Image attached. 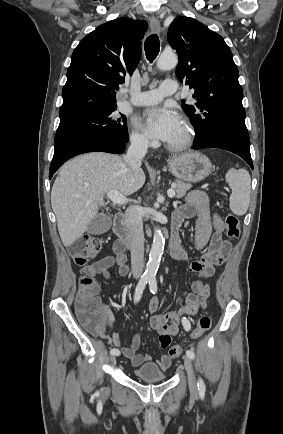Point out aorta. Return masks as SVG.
<instances>
[{"label":"aorta","mask_w":283,"mask_h":434,"mask_svg":"<svg viewBox=\"0 0 283 434\" xmlns=\"http://www.w3.org/2000/svg\"><path fill=\"white\" fill-rule=\"evenodd\" d=\"M178 63V58L175 54H165L163 53L158 61L157 67L160 70H169L176 67ZM165 239L163 237L162 231L159 227L154 228L153 243L151 246L149 261L146 265V275L148 277H154L159 268L161 257L164 252Z\"/></svg>","instance_id":"762f6f07"}]
</instances>
